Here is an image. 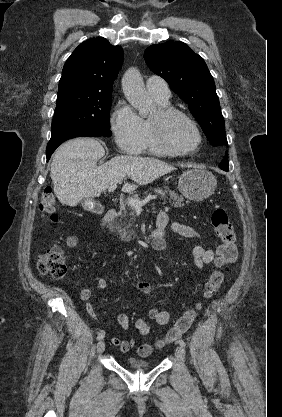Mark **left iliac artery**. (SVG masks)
<instances>
[{
	"label": "left iliac artery",
	"instance_id": "left-iliac-artery-1",
	"mask_svg": "<svg viewBox=\"0 0 282 417\" xmlns=\"http://www.w3.org/2000/svg\"><path fill=\"white\" fill-rule=\"evenodd\" d=\"M178 343L181 345V346H185L186 344H185V342L182 340V339H180L179 341H178Z\"/></svg>",
	"mask_w": 282,
	"mask_h": 417
}]
</instances>
